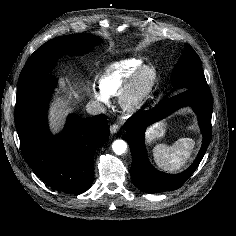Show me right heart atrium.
Segmentation results:
<instances>
[{
    "label": "right heart atrium",
    "mask_w": 236,
    "mask_h": 236,
    "mask_svg": "<svg viewBox=\"0 0 236 236\" xmlns=\"http://www.w3.org/2000/svg\"><path fill=\"white\" fill-rule=\"evenodd\" d=\"M92 98L96 101L107 104L109 102V96L105 94L100 87L93 86L90 90Z\"/></svg>",
    "instance_id": "d8ad5b80"
}]
</instances>
